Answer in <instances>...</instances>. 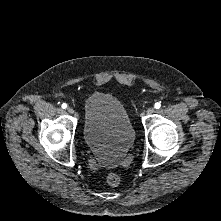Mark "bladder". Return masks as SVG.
<instances>
[{"instance_id": "obj_1", "label": "bladder", "mask_w": 221, "mask_h": 221, "mask_svg": "<svg viewBox=\"0 0 221 221\" xmlns=\"http://www.w3.org/2000/svg\"><path fill=\"white\" fill-rule=\"evenodd\" d=\"M83 134L96 158L114 166L128 153L135 130L121 101L108 93H93L85 99Z\"/></svg>"}]
</instances>
